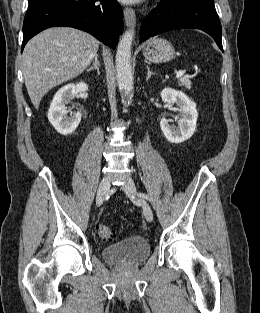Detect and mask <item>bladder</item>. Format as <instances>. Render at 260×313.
<instances>
[{
  "label": "bladder",
  "mask_w": 260,
  "mask_h": 313,
  "mask_svg": "<svg viewBox=\"0 0 260 313\" xmlns=\"http://www.w3.org/2000/svg\"><path fill=\"white\" fill-rule=\"evenodd\" d=\"M149 242L138 235L129 236L115 244L105 247L102 258L118 265H137L150 255Z\"/></svg>",
  "instance_id": "bladder-1"
}]
</instances>
